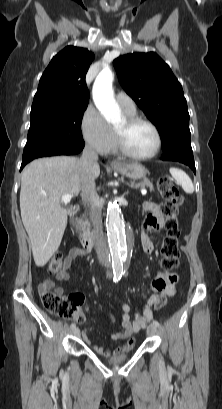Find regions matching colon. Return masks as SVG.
Returning <instances> with one entry per match:
<instances>
[{"instance_id":"5ec220e1","label":"colon","mask_w":222,"mask_h":409,"mask_svg":"<svg viewBox=\"0 0 222 409\" xmlns=\"http://www.w3.org/2000/svg\"><path fill=\"white\" fill-rule=\"evenodd\" d=\"M159 193L164 200L161 214L164 218L166 235L161 247V265L166 270H172L179 265V237L178 210L183 203V196L170 178L162 177L157 183ZM65 268V258L62 253L54 254L48 264L51 273H59ZM44 308L51 314L72 318L78 317L79 312L70 297L58 291H43L40 293ZM166 303L163 297L154 304V310H160Z\"/></svg>"}]
</instances>
